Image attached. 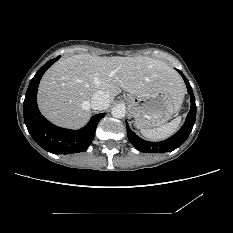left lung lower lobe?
I'll list each match as a JSON object with an SVG mask.
<instances>
[{"label":"left lung lower lobe","instance_id":"obj_1","mask_svg":"<svg viewBox=\"0 0 233 233\" xmlns=\"http://www.w3.org/2000/svg\"><path fill=\"white\" fill-rule=\"evenodd\" d=\"M178 72L183 77L188 93L190 94V102H191V109L187 115L184 125L181 129L174 134L172 137L161 141V142H149L141 139L138 137L129 127L128 123L126 122L127 126V135L128 140L130 143L140 152L144 153H165L171 152L182 145L188 138L190 132L192 131L193 125L196 119V104H195V97L192 91V87L187 80V78L183 75L181 71Z\"/></svg>","mask_w":233,"mask_h":233}]
</instances>
